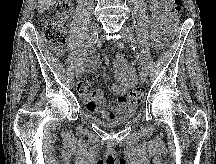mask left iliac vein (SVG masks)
<instances>
[{
	"label": "left iliac vein",
	"mask_w": 216,
	"mask_h": 164,
	"mask_svg": "<svg viewBox=\"0 0 216 164\" xmlns=\"http://www.w3.org/2000/svg\"><path fill=\"white\" fill-rule=\"evenodd\" d=\"M121 33H122L124 39H127L133 45H137V48L139 47L137 41L134 38H132L133 31H132L131 27L126 26V25L123 26ZM142 64L145 68L143 70L140 68V77L144 80L147 77V68L143 62H142Z\"/></svg>",
	"instance_id": "4c4485c4"
}]
</instances>
